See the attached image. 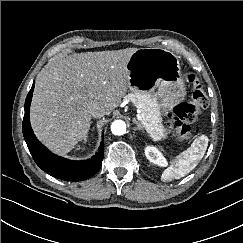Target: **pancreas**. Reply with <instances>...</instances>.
I'll list each match as a JSON object with an SVG mask.
<instances>
[{
  "label": "pancreas",
  "mask_w": 243,
  "mask_h": 243,
  "mask_svg": "<svg viewBox=\"0 0 243 243\" xmlns=\"http://www.w3.org/2000/svg\"><path fill=\"white\" fill-rule=\"evenodd\" d=\"M125 99L132 102L133 105L140 110V114L144 119V127L155 141L166 138L159 110L150 94L145 92H133L129 93Z\"/></svg>",
  "instance_id": "pancreas-1"
}]
</instances>
